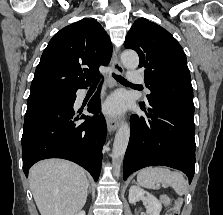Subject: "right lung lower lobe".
<instances>
[{"label": "right lung lower lobe", "mask_w": 223, "mask_h": 215, "mask_svg": "<svg viewBox=\"0 0 223 215\" xmlns=\"http://www.w3.org/2000/svg\"><path fill=\"white\" fill-rule=\"evenodd\" d=\"M75 99L76 95L71 101L26 112L21 140L26 177L34 163L47 158H63L84 167L95 181L98 180L102 146L106 138V122L103 116H74ZM100 110L97 92L89 101L87 111L97 114ZM79 119L86 121L80 125L75 124Z\"/></svg>", "instance_id": "98d812e1"}]
</instances>
